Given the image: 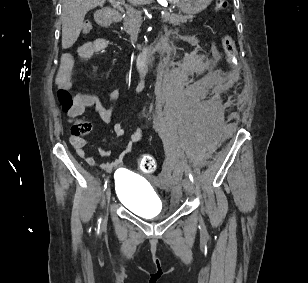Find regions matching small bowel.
Masks as SVG:
<instances>
[{"mask_svg": "<svg viewBox=\"0 0 308 283\" xmlns=\"http://www.w3.org/2000/svg\"><path fill=\"white\" fill-rule=\"evenodd\" d=\"M108 45L109 43L105 38H97L93 41L83 44L79 48V55L84 58H90L97 53L105 51ZM74 68V62L70 57L62 58L56 77V82L59 89L70 90L73 87ZM118 97V90H114L113 92H111V101L117 100ZM90 107H93L95 109L103 122L108 123L111 121L114 106H104L97 96L89 93H79L75 96L74 107L67 112L69 121L71 122L74 117L83 114L85 109ZM113 130L117 136H124L126 134L124 126L120 123H116L113 127ZM142 134V129L137 128L133 133H131L128 144L125 150L120 154V156L112 162L102 164L101 167L104 170H110L116 165L120 164L123 156L130 151L132 144L138 142L142 138ZM70 142L71 145L74 147L77 155L83 160H85L88 165L94 166L96 164L95 159L86 153L84 149L86 141L83 138L71 135ZM99 154L102 157H107L110 155V152L104 149H99Z\"/></svg>", "mask_w": 308, "mask_h": 283, "instance_id": "1", "label": "small bowel"}]
</instances>
